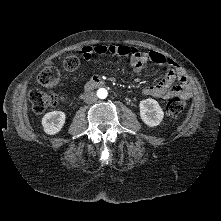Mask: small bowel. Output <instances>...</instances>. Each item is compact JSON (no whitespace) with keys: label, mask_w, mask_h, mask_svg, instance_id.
I'll use <instances>...</instances> for the list:
<instances>
[{"label":"small bowel","mask_w":221,"mask_h":221,"mask_svg":"<svg viewBox=\"0 0 221 221\" xmlns=\"http://www.w3.org/2000/svg\"><path fill=\"white\" fill-rule=\"evenodd\" d=\"M81 53L86 60H90L93 55L105 54L128 57L130 66L135 72L144 71L150 63L164 65L167 67L165 76L159 83L144 87L143 93L159 99L170 97L188 99L192 95L190 82L182 69L172 59L159 52H142L131 45L110 44L84 46Z\"/></svg>","instance_id":"c3829d8e"}]
</instances>
